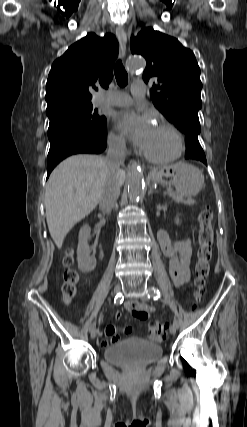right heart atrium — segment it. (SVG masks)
<instances>
[{"label":"right heart atrium","mask_w":247,"mask_h":427,"mask_svg":"<svg viewBox=\"0 0 247 427\" xmlns=\"http://www.w3.org/2000/svg\"><path fill=\"white\" fill-rule=\"evenodd\" d=\"M107 142L109 147L117 152H125L127 149L125 140L115 132L108 134Z\"/></svg>","instance_id":"1"}]
</instances>
